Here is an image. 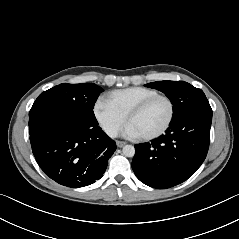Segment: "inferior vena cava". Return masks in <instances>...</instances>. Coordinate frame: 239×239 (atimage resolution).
Returning <instances> with one entry per match:
<instances>
[{"instance_id": "1", "label": "inferior vena cava", "mask_w": 239, "mask_h": 239, "mask_svg": "<svg viewBox=\"0 0 239 239\" xmlns=\"http://www.w3.org/2000/svg\"><path fill=\"white\" fill-rule=\"evenodd\" d=\"M104 131L111 138H116L118 136V129L114 126H106L104 127Z\"/></svg>"}]
</instances>
